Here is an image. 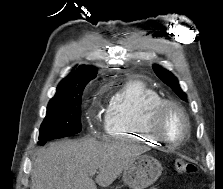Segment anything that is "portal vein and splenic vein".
<instances>
[{
  "instance_id": "18ae733b",
  "label": "portal vein and splenic vein",
  "mask_w": 223,
  "mask_h": 189,
  "mask_svg": "<svg viewBox=\"0 0 223 189\" xmlns=\"http://www.w3.org/2000/svg\"><path fill=\"white\" fill-rule=\"evenodd\" d=\"M96 172H97L96 170H93L90 172V175L93 176Z\"/></svg>"
}]
</instances>
